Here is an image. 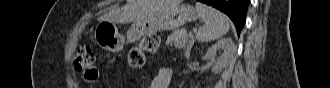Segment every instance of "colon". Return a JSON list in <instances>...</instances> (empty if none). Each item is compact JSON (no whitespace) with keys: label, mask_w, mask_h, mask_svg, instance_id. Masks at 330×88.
<instances>
[{"label":"colon","mask_w":330,"mask_h":88,"mask_svg":"<svg viewBox=\"0 0 330 88\" xmlns=\"http://www.w3.org/2000/svg\"><path fill=\"white\" fill-rule=\"evenodd\" d=\"M160 45L159 36L156 34L146 35L136 47L128 52V65L133 71H139L145 63L146 53H155ZM74 69L81 78L88 83H94L98 79V70L95 67V57L89 46H81L73 59Z\"/></svg>","instance_id":"1"}]
</instances>
